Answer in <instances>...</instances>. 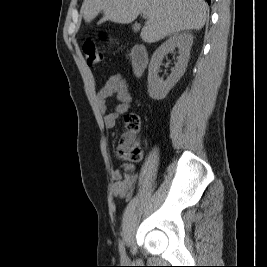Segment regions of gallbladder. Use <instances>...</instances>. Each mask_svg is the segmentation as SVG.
Wrapping results in <instances>:
<instances>
[{"instance_id":"bac80fb5","label":"gallbladder","mask_w":267,"mask_h":267,"mask_svg":"<svg viewBox=\"0 0 267 267\" xmlns=\"http://www.w3.org/2000/svg\"><path fill=\"white\" fill-rule=\"evenodd\" d=\"M139 24H137V23H135L133 26H132V28L135 30V31H137L138 29H139Z\"/></svg>"}]
</instances>
